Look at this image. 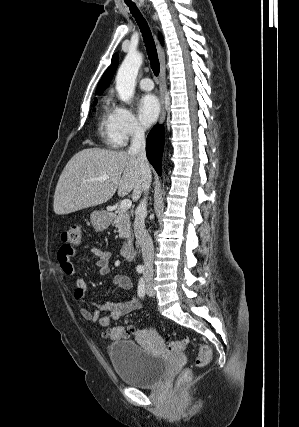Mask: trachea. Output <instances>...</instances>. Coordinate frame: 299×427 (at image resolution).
Listing matches in <instances>:
<instances>
[{
  "mask_svg": "<svg viewBox=\"0 0 299 427\" xmlns=\"http://www.w3.org/2000/svg\"><path fill=\"white\" fill-rule=\"evenodd\" d=\"M128 7L130 9L132 16L135 18L139 26V29L142 33V37L145 42V46L149 56L152 71L155 74V76H158L160 72V64H159L157 50H156V46H155V42H154L151 30L146 20L144 19L139 9L137 8V6L135 4H128Z\"/></svg>",
  "mask_w": 299,
  "mask_h": 427,
  "instance_id": "trachea-1",
  "label": "trachea"
}]
</instances>
